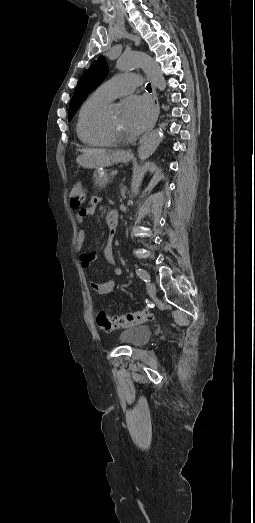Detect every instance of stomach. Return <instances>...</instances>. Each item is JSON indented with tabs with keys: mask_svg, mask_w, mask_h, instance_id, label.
Returning <instances> with one entry per match:
<instances>
[{
	"mask_svg": "<svg viewBox=\"0 0 255 523\" xmlns=\"http://www.w3.org/2000/svg\"><path fill=\"white\" fill-rule=\"evenodd\" d=\"M132 154L128 150H118L114 154H105V156H99L97 151H88L86 156H79L76 162L83 168H108L113 166L115 162H130Z\"/></svg>",
	"mask_w": 255,
	"mask_h": 523,
	"instance_id": "1",
	"label": "stomach"
}]
</instances>
